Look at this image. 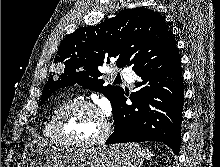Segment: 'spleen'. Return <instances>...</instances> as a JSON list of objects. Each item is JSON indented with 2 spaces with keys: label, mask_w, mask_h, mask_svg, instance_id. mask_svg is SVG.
I'll list each match as a JSON object with an SVG mask.
<instances>
[{
  "label": "spleen",
  "mask_w": 220,
  "mask_h": 167,
  "mask_svg": "<svg viewBox=\"0 0 220 167\" xmlns=\"http://www.w3.org/2000/svg\"><path fill=\"white\" fill-rule=\"evenodd\" d=\"M143 152H144V154L146 155V158L149 160L152 156H153V154L149 151V150H143Z\"/></svg>",
  "instance_id": "1"
}]
</instances>
